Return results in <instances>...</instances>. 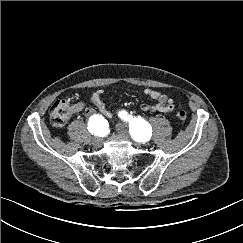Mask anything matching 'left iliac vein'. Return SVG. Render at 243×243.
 <instances>
[{
    "instance_id": "1",
    "label": "left iliac vein",
    "mask_w": 243,
    "mask_h": 243,
    "mask_svg": "<svg viewBox=\"0 0 243 243\" xmlns=\"http://www.w3.org/2000/svg\"><path fill=\"white\" fill-rule=\"evenodd\" d=\"M116 130L118 131V133L125 136L126 138L129 137V133H128V129H127L126 125L119 123L116 125ZM138 145H140V144H138Z\"/></svg>"
}]
</instances>
